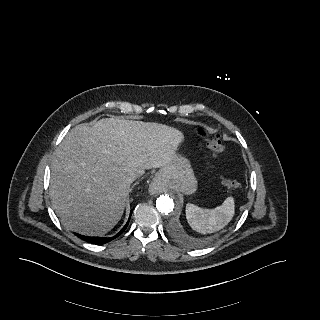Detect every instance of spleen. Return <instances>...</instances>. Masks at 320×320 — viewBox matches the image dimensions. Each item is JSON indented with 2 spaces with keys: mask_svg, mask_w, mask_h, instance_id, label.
Listing matches in <instances>:
<instances>
[{
  "mask_svg": "<svg viewBox=\"0 0 320 320\" xmlns=\"http://www.w3.org/2000/svg\"><path fill=\"white\" fill-rule=\"evenodd\" d=\"M235 203L233 197H228L222 205L215 209H203L188 203L186 218L193 230L206 234L216 232L225 227L233 218Z\"/></svg>",
  "mask_w": 320,
  "mask_h": 320,
  "instance_id": "obj_1",
  "label": "spleen"
}]
</instances>
